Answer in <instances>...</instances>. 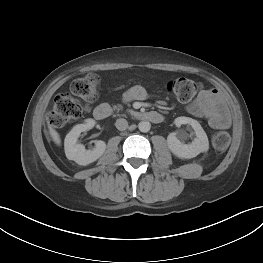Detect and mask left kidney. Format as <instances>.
<instances>
[{"instance_id":"1","label":"left kidney","mask_w":263,"mask_h":263,"mask_svg":"<svg viewBox=\"0 0 263 263\" xmlns=\"http://www.w3.org/2000/svg\"><path fill=\"white\" fill-rule=\"evenodd\" d=\"M174 123L177 127H180L182 124L191 125L196 134V138L192 143L185 144L180 141L176 132L170 133L167 137V144L170 151L174 155L181 159H191L196 157L201 152L208 151V137L198 121L189 117L181 116L176 118Z\"/></svg>"}]
</instances>
